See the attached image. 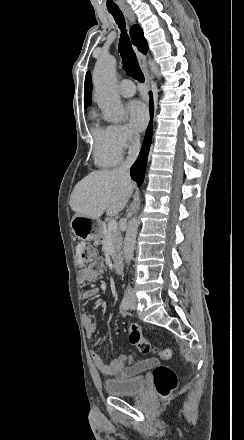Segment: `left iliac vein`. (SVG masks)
Segmentation results:
<instances>
[{"mask_svg": "<svg viewBox=\"0 0 244 440\" xmlns=\"http://www.w3.org/2000/svg\"><path fill=\"white\" fill-rule=\"evenodd\" d=\"M136 304H137V299H136L135 295H130V298H129V308L130 309H135L136 308Z\"/></svg>", "mask_w": 244, "mask_h": 440, "instance_id": "obj_1", "label": "left iliac vein"}]
</instances>
